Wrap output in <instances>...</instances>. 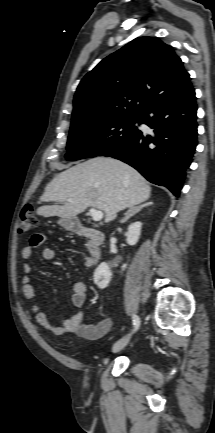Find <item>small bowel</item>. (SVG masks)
Listing matches in <instances>:
<instances>
[{
  "instance_id": "1",
  "label": "small bowel",
  "mask_w": 215,
  "mask_h": 433,
  "mask_svg": "<svg viewBox=\"0 0 215 433\" xmlns=\"http://www.w3.org/2000/svg\"><path fill=\"white\" fill-rule=\"evenodd\" d=\"M46 240L47 236L42 233L31 236L28 245L21 250L22 258L29 259L32 255L33 249L43 245ZM41 256L44 261H53L55 258V253L50 248H43L41 251ZM86 264L91 265L90 259L86 260ZM23 272L24 275L22 277L21 286L22 294L30 303V309L35 316V320L41 327L56 335L74 334L78 337L88 340L100 339L109 332L112 326L111 318H103L96 324H87L84 320V315L81 312H77L69 316L59 325L53 324L35 301V291L30 278V274L32 272L31 265L25 263L23 265ZM86 295L87 287L85 282H74L72 294L70 296L71 305L75 308L82 307L86 301Z\"/></svg>"
}]
</instances>
